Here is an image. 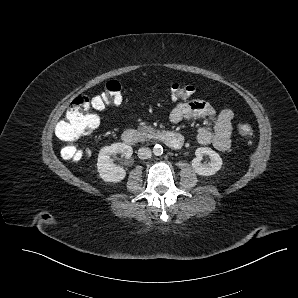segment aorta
I'll use <instances>...</instances> for the list:
<instances>
[{
    "instance_id": "1",
    "label": "aorta",
    "mask_w": 298,
    "mask_h": 298,
    "mask_svg": "<svg viewBox=\"0 0 298 298\" xmlns=\"http://www.w3.org/2000/svg\"><path fill=\"white\" fill-rule=\"evenodd\" d=\"M153 153L154 155H161L163 153V147L160 144H155L153 147Z\"/></svg>"
}]
</instances>
